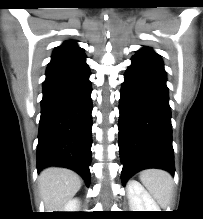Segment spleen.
Segmentation results:
<instances>
[{
  "label": "spleen",
  "mask_w": 203,
  "mask_h": 219,
  "mask_svg": "<svg viewBox=\"0 0 203 219\" xmlns=\"http://www.w3.org/2000/svg\"><path fill=\"white\" fill-rule=\"evenodd\" d=\"M140 181L162 207L170 202L173 190V180L169 173L163 170L148 169L140 174Z\"/></svg>",
  "instance_id": "1"
}]
</instances>
